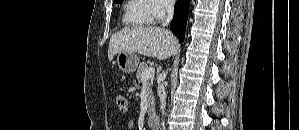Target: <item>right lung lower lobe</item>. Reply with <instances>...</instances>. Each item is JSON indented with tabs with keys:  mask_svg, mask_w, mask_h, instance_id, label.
Wrapping results in <instances>:
<instances>
[{
	"mask_svg": "<svg viewBox=\"0 0 299 130\" xmlns=\"http://www.w3.org/2000/svg\"><path fill=\"white\" fill-rule=\"evenodd\" d=\"M189 3V0H177L174 8V17L171 22V29L178 37L180 43H182L185 38Z\"/></svg>",
	"mask_w": 299,
	"mask_h": 130,
	"instance_id": "98d812e1",
	"label": "right lung lower lobe"
}]
</instances>
